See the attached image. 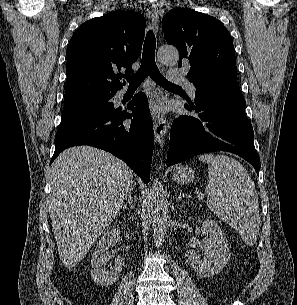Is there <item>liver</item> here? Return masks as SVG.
I'll return each mask as SVG.
<instances>
[{
  "instance_id": "liver-1",
  "label": "liver",
  "mask_w": 297,
  "mask_h": 305,
  "mask_svg": "<svg viewBox=\"0 0 297 305\" xmlns=\"http://www.w3.org/2000/svg\"><path fill=\"white\" fill-rule=\"evenodd\" d=\"M49 214L59 256L76 266L119 213L133 172L115 156L90 146L64 150L50 168Z\"/></svg>"
}]
</instances>
